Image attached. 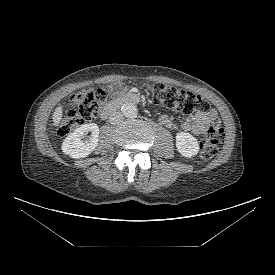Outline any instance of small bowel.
I'll return each mask as SVG.
<instances>
[{
    "instance_id": "small-bowel-1",
    "label": "small bowel",
    "mask_w": 275,
    "mask_h": 275,
    "mask_svg": "<svg viewBox=\"0 0 275 275\" xmlns=\"http://www.w3.org/2000/svg\"><path fill=\"white\" fill-rule=\"evenodd\" d=\"M124 87L121 83H114L109 87V93L112 96L121 94ZM216 118L214 110L207 112H198L194 115L189 116L179 125H176L169 117L162 116L160 118L161 123L169 129L180 128L183 131L193 133L195 135H201L208 125Z\"/></svg>"
}]
</instances>
